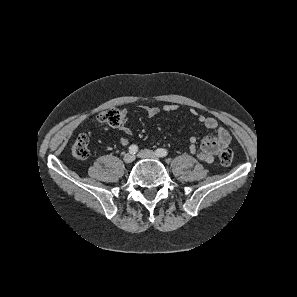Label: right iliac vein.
<instances>
[{
  "mask_svg": "<svg viewBox=\"0 0 297 297\" xmlns=\"http://www.w3.org/2000/svg\"><path fill=\"white\" fill-rule=\"evenodd\" d=\"M123 160L125 163H132L135 160V156L133 154L127 153L124 155Z\"/></svg>",
  "mask_w": 297,
  "mask_h": 297,
  "instance_id": "obj_1",
  "label": "right iliac vein"
}]
</instances>
